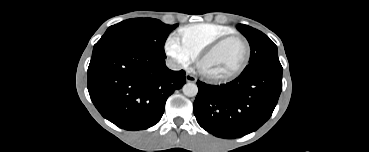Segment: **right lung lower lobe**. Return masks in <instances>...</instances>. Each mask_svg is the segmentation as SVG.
<instances>
[{"label":"right lung lower lobe","instance_id":"right-lung-lower-lobe-1","mask_svg":"<svg viewBox=\"0 0 369 152\" xmlns=\"http://www.w3.org/2000/svg\"><path fill=\"white\" fill-rule=\"evenodd\" d=\"M185 82V71H171L164 59L128 45L93 54L88 67V91L97 110L131 131L158 123L167 98Z\"/></svg>","mask_w":369,"mask_h":152}]
</instances>
